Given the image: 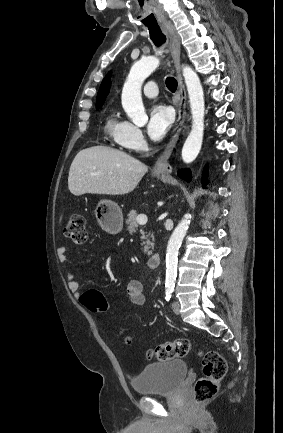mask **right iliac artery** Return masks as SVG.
Wrapping results in <instances>:
<instances>
[{
  "mask_svg": "<svg viewBox=\"0 0 283 433\" xmlns=\"http://www.w3.org/2000/svg\"><path fill=\"white\" fill-rule=\"evenodd\" d=\"M172 292H173V288L172 287H168L166 289V296H165L166 301L170 300Z\"/></svg>",
  "mask_w": 283,
  "mask_h": 433,
  "instance_id": "obj_1",
  "label": "right iliac artery"
}]
</instances>
